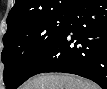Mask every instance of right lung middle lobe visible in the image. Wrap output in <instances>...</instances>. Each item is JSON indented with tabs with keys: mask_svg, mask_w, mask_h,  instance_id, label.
<instances>
[{
	"mask_svg": "<svg viewBox=\"0 0 107 89\" xmlns=\"http://www.w3.org/2000/svg\"><path fill=\"white\" fill-rule=\"evenodd\" d=\"M69 19L70 12L35 17L8 26L2 52L4 80L8 88L18 87L35 74L67 27Z\"/></svg>",
	"mask_w": 107,
	"mask_h": 89,
	"instance_id": "1",
	"label": "right lung middle lobe"
}]
</instances>
